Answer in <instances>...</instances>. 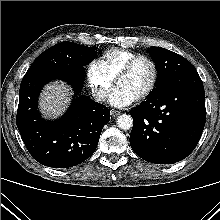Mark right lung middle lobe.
Returning a JSON list of instances; mask_svg holds the SVG:
<instances>
[{
	"instance_id": "dd1d6c3e",
	"label": "right lung middle lobe",
	"mask_w": 220,
	"mask_h": 220,
	"mask_svg": "<svg viewBox=\"0 0 220 220\" xmlns=\"http://www.w3.org/2000/svg\"><path fill=\"white\" fill-rule=\"evenodd\" d=\"M98 47L72 42L58 43L42 52L27 72L38 70H84L97 55Z\"/></svg>"
}]
</instances>
